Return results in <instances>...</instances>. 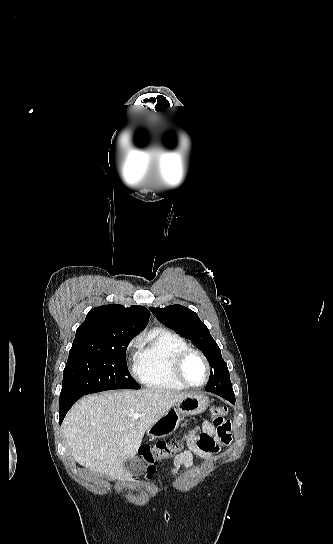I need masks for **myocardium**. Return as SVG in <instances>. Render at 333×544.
I'll return each mask as SVG.
<instances>
[{"label":"myocardium","mask_w":333,"mask_h":544,"mask_svg":"<svg viewBox=\"0 0 333 544\" xmlns=\"http://www.w3.org/2000/svg\"><path fill=\"white\" fill-rule=\"evenodd\" d=\"M192 355L198 356L203 361L206 368V379L203 383L199 385L191 384L184 376V365L186 361L188 360V358L191 357ZM172 370H173V375L175 379L180 384H182L184 387L192 388V389H199L204 387L205 385H207L211 377V367H210L208 359L201 351L193 349V348H187L185 350H182L175 356L173 360Z\"/></svg>","instance_id":"myocardium-1"}]
</instances>
